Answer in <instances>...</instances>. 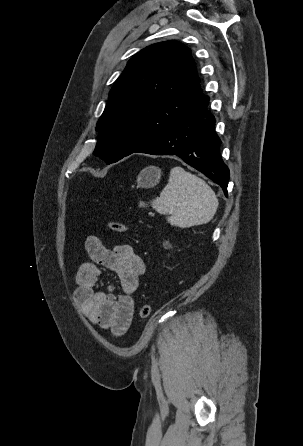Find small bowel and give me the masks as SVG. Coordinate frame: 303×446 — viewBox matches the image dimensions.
<instances>
[{
    "label": "small bowel",
    "instance_id": "obj_1",
    "mask_svg": "<svg viewBox=\"0 0 303 446\" xmlns=\"http://www.w3.org/2000/svg\"><path fill=\"white\" fill-rule=\"evenodd\" d=\"M84 247L89 261L80 265L76 273L74 299L91 323L121 336L133 319V295L145 272L144 262L131 245L119 243L107 248L94 235L86 238ZM102 268L117 275L121 291L118 295L114 294L113 287L99 289Z\"/></svg>",
    "mask_w": 303,
    "mask_h": 446
}]
</instances>
